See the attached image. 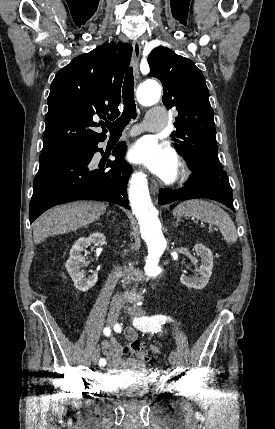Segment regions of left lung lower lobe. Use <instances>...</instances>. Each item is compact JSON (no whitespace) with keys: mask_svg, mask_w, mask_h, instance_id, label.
Returning a JSON list of instances; mask_svg holds the SVG:
<instances>
[{"mask_svg":"<svg viewBox=\"0 0 275 429\" xmlns=\"http://www.w3.org/2000/svg\"><path fill=\"white\" fill-rule=\"evenodd\" d=\"M194 172L193 178L184 188L178 190L160 189L159 204H167L176 200L194 198L213 199L223 203L233 211V194L226 171L212 164L189 166Z\"/></svg>","mask_w":275,"mask_h":429,"instance_id":"obj_1","label":"left lung lower lobe"}]
</instances>
